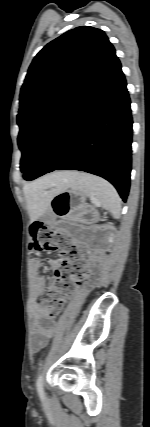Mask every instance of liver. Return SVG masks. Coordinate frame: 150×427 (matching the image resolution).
Wrapping results in <instances>:
<instances>
[{"mask_svg":"<svg viewBox=\"0 0 150 427\" xmlns=\"http://www.w3.org/2000/svg\"><path fill=\"white\" fill-rule=\"evenodd\" d=\"M75 172H54L23 187L30 218L38 219L50 207L53 196L71 186Z\"/></svg>","mask_w":150,"mask_h":427,"instance_id":"6515ba94","label":"liver"}]
</instances>
